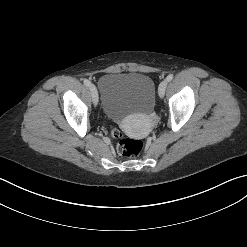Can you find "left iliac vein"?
Returning <instances> with one entry per match:
<instances>
[{
  "label": "left iliac vein",
  "mask_w": 247,
  "mask_h": 247,
  "mask_svg": "<svg viewBox=\"0 0 247 247\" xmlns=\"http://www.w3.org/2000/svg\"><path fill=\"white\" fill-rule=\"evenodd\" d=\"M167 80H163L160 84H159V87H158V94H159V97L162 98L165 94V90H166V87H167Z\"/></svg>",
  "instance_id": "left-iliac-vein-1"
}]
</instances>
